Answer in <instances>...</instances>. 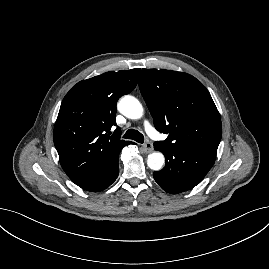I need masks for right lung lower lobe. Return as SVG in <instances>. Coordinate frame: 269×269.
Returning a JSON list of instances; mask_svg holds the SVG:
<instances>
[{"mask_svg":"<svg viewBox=\"0 0 269 269\" xmlns=\"http://www.w3.org/2000/svg\"><path fill=\"white\" fill-rule=\"evenodd\" d=\"M118 157L119 154L107 162L92 177L77 185L91 192H99L109 187L119 174Z\"/></svg>","mask_w":269,"mask_h":269,"instance_id":"obj_1","label":"right lung lower lobe"}]
</instances>
